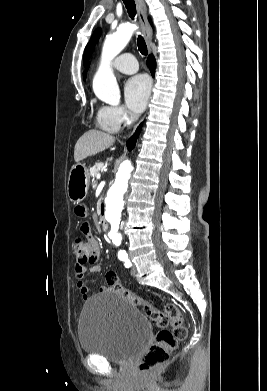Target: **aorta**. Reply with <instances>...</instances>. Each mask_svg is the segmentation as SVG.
Masks as SVG:
<instances>
[{
    "label": "aorta",
    "instance_id": "aorta-1",
    "mask_svg": "<svg viewBox=\"0 0 267 391\" xmlns=\"http://www.w3.org/2000/svg\"><path fill=\"white\" fill-rule=\"evenodd\" d=\"M136 26L130 23L120 25L116 32L107 35L103 44L101 64L93 80V91L103 102L117 105L120 102V90L111 70V61L125 48L130 41ZM130 161H123L116 173V178L108 190L105 204V218L109 224V236L115 245H119L122 236L119 232L121 212L132 173Z\"/></svg>",
    "mask_w": 267,
    "mask_h": 391
}]
</instances>
